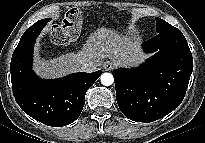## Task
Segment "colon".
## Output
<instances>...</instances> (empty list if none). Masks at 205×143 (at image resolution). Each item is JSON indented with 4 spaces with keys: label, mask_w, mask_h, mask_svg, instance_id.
<instances>
[{
    "label": "colon",
    "mask_w": 205,
    "mask_h": 143,
    "mask_svg": "<svg viewBox=\"0 0 205 143\" xmlns=\"http://www.w3.org/2000/svg\"><path fill=\"white\" fill-rule=\"evenodd\" d=\"M81 26L82 13L76 8L70 9L61 24L52 26L50 37L56 44H70L78 39Z\"/></svg>",
    "instance_id": "colon-1"
}]
</instances>
